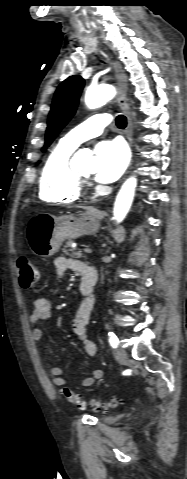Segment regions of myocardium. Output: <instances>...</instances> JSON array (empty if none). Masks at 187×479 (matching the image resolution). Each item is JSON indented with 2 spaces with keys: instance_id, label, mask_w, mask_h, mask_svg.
<instances>
[{
  "instance_id": "f54148a6",
  "label": "myocardium",
  "mask_w": 187,
  "mask_h": 479,
  "mask_svg": "<svg viewBox=\"0 0 187 479\" xmlns=\"http://www.w3.org/2000/svg\"><path fill=\"white\" fill-rule=\"evenodd\" d=\"M77 174L79 176L81 190L86 189L89 185V176H86V175H84L82 173H79V172H77Z\"/></svg>"
}]
</instances>
